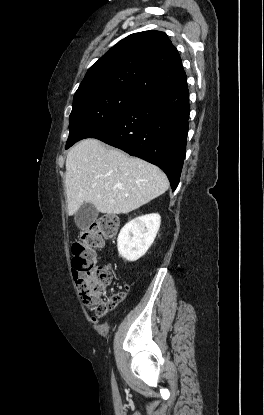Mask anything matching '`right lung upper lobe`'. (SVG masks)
<instances>
[{"label":"right lung upper lobe","mask_w":264,"mask_h":415,"mask_svg":"<svg viewBox=\"0 0 264 415\" xmlns=\"http://www.w3.org/2000/svg\"><path fill=\"white\" fill-rule=\"evenodd\" d=\"M186 78L180 55L168 36L144 31L127 36L97 60L74 98L111 91L144 98Z\"/></svg>","instance_id":"cb5924a9"}]
</instances>
